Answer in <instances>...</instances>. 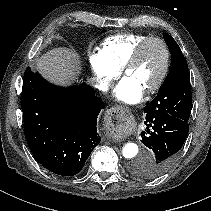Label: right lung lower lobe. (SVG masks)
<instances>
[{
    "label": "right lung lower lobe",
    "instance_id": "98d812e1",
    "mask_svg": "<svg viewBox=\"0 0 211 211\" xmlns=\"http://www.w3.org/2000/svg\"><path fill=\"white\" fill-rule=\"evenodd\" d=\"M21 107L25 137L35 159L58 175L79 173L101 141L96 125L105 107L102 99L88 85L57 87L28 67Z\"/></svg>",
    "mask_w": 211,
    "mask_h": 211
}]
</instances>
